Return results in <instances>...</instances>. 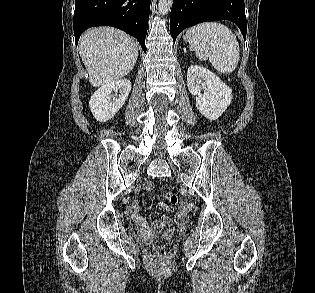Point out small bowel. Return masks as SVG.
<instances>
[{"mask_svg":"<svg viewBox=\"0 0 315 293\" xmlns=\"http://www.w3.org/2000/svg\"><path fill=\"white\" fill-rule=\"evenodd\" d=\"M143 189L145 191H151L153 189V184L152 182H147L143 185ZM160 207L165 210L168 211V213L170 215H173L175 213V210L173 208H171L170 206H168L165 203H161ZM130 214L133 218V220L142 228V229H146L148 227V223L147 221L143 218V216L141 215V208H140V204L138 200H134L131 204L130 207ZM184 213L182 211H179L177 213L176 219L177 220H182L184 218ZM169 218L167 216H162L160 219H157L154 221L153 223V227L155 229H159L161 228L164 224L169 222Z\"/></svg>","mask_w":315,"mask_h":293,"instance_id":"small-bowel-1","label":"small bowel"}]
</instances>
